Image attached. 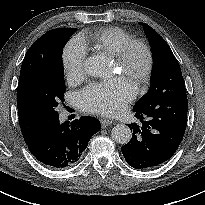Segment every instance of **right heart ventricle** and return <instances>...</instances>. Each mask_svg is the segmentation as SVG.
Wrapping results in <instances>:
<instances>
[{"label": "right heart ventricle", "mask_w": 205, "mask_h": 205, "mask_svg": "<svg viewBox=\"0 0 205 205\" xmlns=\"http://www.w3.org/2000/svg\"><path fill=\"white\" fill-rule=\"evenodd\" d=\"M134 37L119 27L100 29L92 35L89 43L97 50L117 56Z\"/></svg>", "instance_id": "1"}]
</instances>
